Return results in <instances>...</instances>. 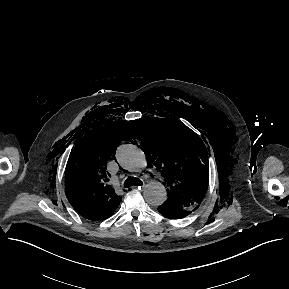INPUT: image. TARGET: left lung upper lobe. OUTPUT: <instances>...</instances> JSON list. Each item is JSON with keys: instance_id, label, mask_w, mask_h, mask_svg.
<instances>
[{"instance_id": "1", "label": "left lung upper lobe", "mask_w": 289, "mask_h": 289, "mask_svg": "<svg viewBox=\"0 0 289 289\" xmlns=\"http://www.w3.org/2000/svg\"><path fill=\"white\" fill-rule=\"evenodd\" d=\"M142 147L150 163L171 186L165 205L195 211L208 187V157L199 136L180 121L169 118L138 120Z\"/></svg>"}]
</instances>
